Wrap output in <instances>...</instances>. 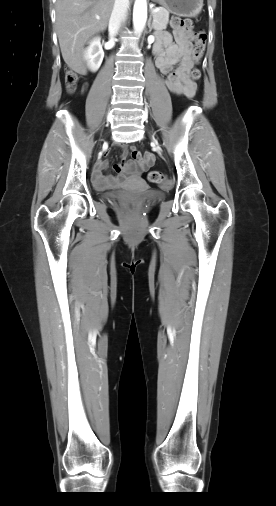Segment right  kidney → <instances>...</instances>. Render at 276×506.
I'll list each match as a JSON object with an SVG mask.
<instances>
[{
    "instance_id": "obj_1",
    "label": "right kidney",
    "mask_w": 276,
    "mask_h": 506,
    "mask_svg": "<svg viewBox=\"0 0 276 506\" xmlns=\"http://www.w3.org/2000/svg\"><path fill=\"white\" fill-rule=\"evenodd\" d=\"M84 58L87 61L88 68L92 72H95L99 69L104 58V52L100 44L99 37H94L90 41L89 47L84 52Z\"/></svg>"
}]
</instances>
